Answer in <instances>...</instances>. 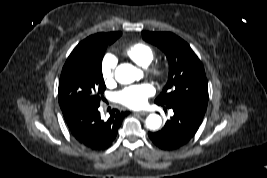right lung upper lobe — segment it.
Segmentation results:
<instances>
[{
    "label": "right lung upper lobe",
    "mask_w": 267,
    "mask_h": 178,
    "mask_svg": "<svg viewBox=\"0 0 267 178\" xmlns=\"http://www.w3.org/2000/svg\"><path fill=\"white\" fill-rule=\"evenodd\" d=\"M117 35H121V33L120 32L98 33L90 37H112V36H117Z\"/></svg>",
    "instance_id": "obj_1"
}]
</instances>
